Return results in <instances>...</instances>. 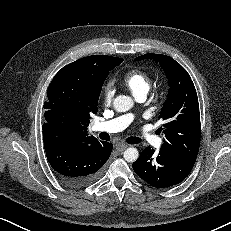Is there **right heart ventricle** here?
<instances>
[{
	"instance_id": "right-heart-ventricle-1",
	"label": "right heart ventricle",
	"mask_w": 231,
	"mask_h": 231,
	"mask_svg": "<svg viewBox=\"0 0 231 231\" xmlns=\"http://www.w3.org/2000/svg\"><path fill=\"white\" fill-rule=\"evenodd\" d=\"M122 84L136 98L148 93L151 87V77L141 69H131L123 75Z\"/></svg>"
}]
</instances>
